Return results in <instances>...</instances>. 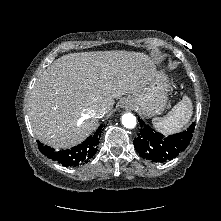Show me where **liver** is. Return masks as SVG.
I'll return each instance as SVG.
<instances>
[{"mask_svg": "<svg viewBox=\"0 0 221 221\" xmlns=\"http://www.w3.org/2000/svg\"><path fill=\"white\" fill-rule=\"evenodd\" d=\"M155 74L144 53H70L47 67L36 81L28 115L35 136L56 149L82 142L96 128L94 110L110 112L114 99L143 91Z\"/></svg>", "mask_w": 221, "mask_h": 221, "instance_id": "1", "label": "liver"}]
</instances>
